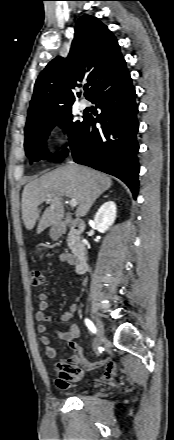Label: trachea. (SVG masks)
Segmentation results:
<instances>
[{
    "label": "trachea",
    "mask_w": 174,
    "mask_h": 440,
    "mask_svg": "<svg viewBox=\"0 0 174 440\" xmlns=\"http://www.w3.org/2000/svg\"><path fill=\"white\" fill-rule=\"evenodd\" d=\"M84 89H85V90H87L88 88H87V87H85Z\"/></svg>",
    "instance_id": "1"
}]
</instances>
